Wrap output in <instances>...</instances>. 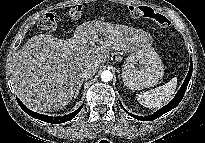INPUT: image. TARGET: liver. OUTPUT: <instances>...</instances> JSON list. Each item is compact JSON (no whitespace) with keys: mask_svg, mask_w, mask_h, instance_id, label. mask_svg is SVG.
<instances>
[{"mask_svg":"<svg viewBox=\"0 0 205 143\" xmlns=\"http://www.w3.org/2000/svg\"><path fill=\"white\" fill-rule=\"evenodd\" d=\"M152 42V36L141 29L100 20L77 26L66 40L35 35L12 58V83L33 111L59 110L72 100L87 64L105 63L111 49L134 52L151 47Z\"/></svg>","mask_w":205,"mask_h":143,"instance_id":"1","label":"liver"}]
</instances>
